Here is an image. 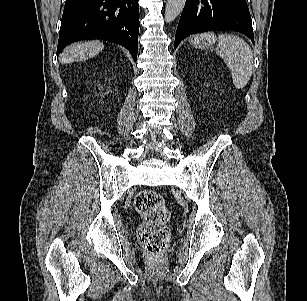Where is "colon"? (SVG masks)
Listing matches in <instances>:
<instances>
[{
    "instance_id": "5ec220e1",
    "label": "colon",
    "mask_w": 307,
    "mask_h": 301,
    "mask_svg": "<svg viewBox=\"0 0 307 301\" xmlns=\"http://www.w3.org/2000/svg\"><path fill=\"white\" fill-rule=\"evenodd\" d=\"M134 207L143 219L137 228L139 244L152 256L162 254L171 235L167 225L170 212L163 197L155 190H141L135 196Z\"/></svg>"
}]
</instances>
